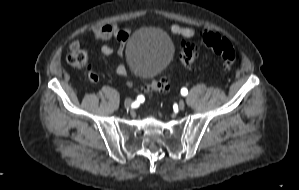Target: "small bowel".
<instances>
[{
	"label": "small bowel",
	"instance_id": "small-bowel-1",
	"mask_svg": "<svg viewBox=\"0 0 299 190\" xmlns=\"http://www.w3.org/2000/svg\"><path fill=\"white\" fill-rule=\"evenodd\" d=\"M170 29L175 34H178L184 38H193L196 35V31L191 27L180 26L177 24H172ZM129 27H119L114 24H105L98 27L94 32V38L97 42L101 43V50L105 55L112 54L115 50L120 56L124 54L125 44L130 36ZM111 39H115L118 43L117 48L112 47L109 42ZM72 46H80L79 42H75ZM115 72L121 76L128 75V69L123 62H117L115 64ZM88 77L91 81H98V75L93 69L91 72H88Z\"/></svg>",
	"mask_w": 299,
	"mask_h": 190
}]
</instances>
